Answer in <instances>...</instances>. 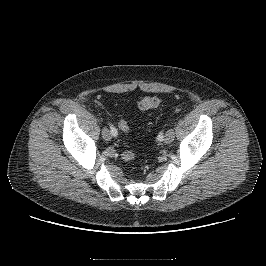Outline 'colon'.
I'll list each match as a JSON object with an SVG mask.
<instances>
[{
  "instance_id": "colon-1",
  "label": "colon",
  "mask_w": 266,
  "mask_h": 266,
  "mask_svg": "<svg viewBox=\"0 0 266 266\" xmlns=\"http://www.w3.org/2000/svg\"><path fill=\"white\" fill-rule=\"evenodd\" d=\"M158 104H159V99L157 97L152 96V95H147V96L142 97L138 101L137 106L140 110L146 111V110L156 108L158 106ZM118 127L124 133H128L130 130L129 124L123 120L118 123ZM122 158L125 161H132L135 158V154L132 150L125 149L122 152Z\"/></svg>"
}]
</instances>
